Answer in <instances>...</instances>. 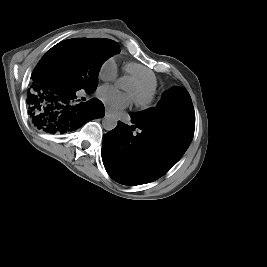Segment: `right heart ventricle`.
Returning a JSON list of instances; mask_svg holds the SVG:
<instances>
[{
  "label": "right heart ventricle",
  "mask_w": 267,
  "mask_h": 267,
  "mask_svg": "<svg viewBox=\"0 0 267 267\" xmlns=\"http://www.w3.org/2000/svg\"><path fill=\"white\" fill-rule=\"evenodd\" d=\"M125 71L133 81L141 84L146 90L154 94L157 87V78L152 70L138 63H128L125 66Z\"/></svg>",
  "instance_id": "obj_1"
}]
</instances>
